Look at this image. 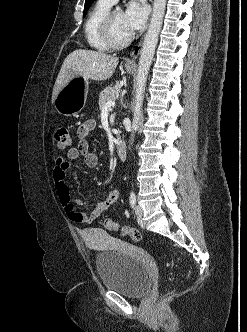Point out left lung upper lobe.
<instances>
[{"instance_id":"1","label":"left lung upper lobe","mask_w":247,"mask_h":332,"mask_svg":"<svg viewBox=\"0 0 247 332\" xmlns=\"http://www.w3.org/2000/svg\"><path fill=\"white\" fill-rule=\"evenodd\" d=\"M93 1H94V0H86V1H85V6H84V13H83V16L86 15L87 10L89 9V7H90V5H91V3H92Z\"/></svg>"}]
</instances>
